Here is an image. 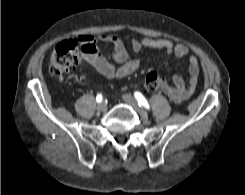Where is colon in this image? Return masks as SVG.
I'll use <instances>...</instances> for the list:
<instances>
[{
  "mask_svg": "<svg viewBox=\"0 0 245 195\" xmlns=\"http://www.w3.org/2000/svg\"><path fill=\"white\" fill-rule=\"evenodd\" d=\"M84 48L76 40L69 39L58 43L51 55L49 72L57 77L74 69ZM164 79L157 73H149L144 81L145 91L152 93L162 88Z\"/></svg>",
  "mask_w": 245,
  "mask_h": 195,
  "instance_id": "colon-1",
  "label": "colon"
}]
</instances>
